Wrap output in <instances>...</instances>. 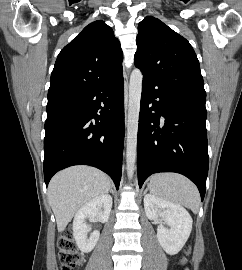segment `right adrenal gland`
I'll use <instances>...</instances> for the list:
<instances>
[{
	"label": "right adrenal gland",
	"mask_w": 242,
	"mask_h": 270,
	"mask_svg": "<svg viewBox=\"0 0 242 270\" xmlns=\"http://www.w3.org/2000/svg\"><path fill=\"white\" fill-rule=\"evenodd\" d=\"M109 192L113 194V190L112 189H110Z\"/></svg>",
	"instance_id": "obj_1"
}]
</instances>
